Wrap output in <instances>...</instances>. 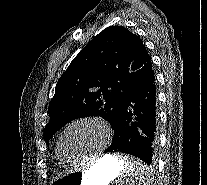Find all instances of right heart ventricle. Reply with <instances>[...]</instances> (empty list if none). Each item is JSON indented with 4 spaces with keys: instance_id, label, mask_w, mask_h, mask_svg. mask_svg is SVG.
<instances>
[{
    "instance_id": "e07e8e85",
    "label": "right heart ventricle",
    "mask_w": 207,
    "mask_h": 185,
    "mask_svg": "<svg viewBox=\"0 0 207 185\" xmlns=\"http://www.w3.org/2000/svg\"><path fill=\"white\" fill-rule=\"evenodd\" d=\"M56 157H57V160L59 161V163H61V164L66 163V161L61 157L59 150H58V147L56 148Z\"/></svg>"
}]
</instances>
